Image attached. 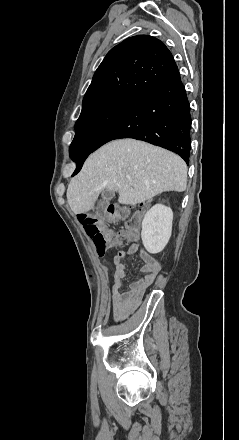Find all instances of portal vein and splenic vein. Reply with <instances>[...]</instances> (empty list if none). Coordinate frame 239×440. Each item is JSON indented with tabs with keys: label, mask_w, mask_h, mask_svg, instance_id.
Masks as SVG:
<instances>
[{
	"label": "portal vein and splenic vein",
	"mask_w": 239,
	"mask_h": 440,
	"mask_svg": "<svg viewBox=\"0 0 239 440\" xmlns=\"http://www.w3.org/2000/svg\"><path fill=\"white\" fill-rule=\"evenodd\" d=\"M128 180H130V182H131V178H128Z\"/></svg>",
	"instance_id": "portal-vein-and-splenic-vein-1"
}]
</instances>
